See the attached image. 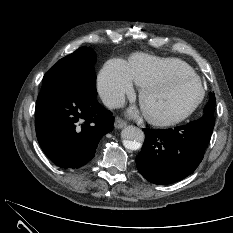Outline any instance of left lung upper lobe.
<instances>
[{"label": "left lung upper lobe", "mask_w": 233, "mask_h": 233, "mask_svg": "<svg viewBox=\"0 0 233 233\" xmlns=\"http://www.w3.org/2000/svg\"><path fill=\"white\" fill-rule=\"evenodd\" d=\"M215 102H216V99H215L214 93H210L209 102L206 105L204 109V115L200 118V120L214 124L213 114H214Z\"/></svg>", "instance_id": "1"}]
</instances>
